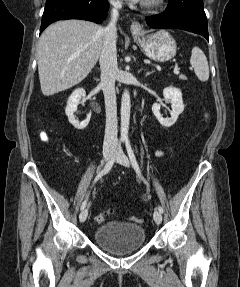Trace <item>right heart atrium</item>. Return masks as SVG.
<instances>
[{
    "mask_svg": "<svg viewBox=\"0 0 240 287\" xmlns=\"http://www.w3.org/2000/svg\"><path fill=\"white\" fill-rule=\"evenodd\" d=\"M112 4L117 5L118 4V0H110Z\"/></svg>",
    "mask_w": 240,
    "mask_h": 287,
    "instance_id": "1",
    "label": "right heart atrium"
}]
</instances>
